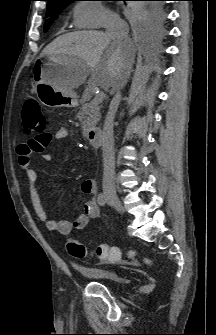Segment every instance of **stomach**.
Here are the masks:
<instances>
[{
    "label": "stomach",
    "instance_id": "stomach-1",
    "mask_svg": "<svg viewBox=\"0 0 216 335\" xmlns=\"http://www.w3.org/2000/svg\"><path fill=\"white\" fill-rule=\"evenodd\" d=\"M72 62L70 57L60 60L54 56L36 61L33 68L36 93L43 105L51 108H71L78 105V97L74 91L61 89L65 82L64 75L71 68Z\"/></svg>",
    "mask_w": 216,
    "mask_h": 335
}]
</instances>
